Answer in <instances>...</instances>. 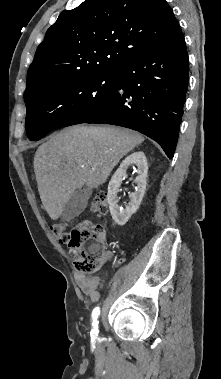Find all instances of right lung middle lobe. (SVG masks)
I'll return each instance as SVG.
<instances>
[{"label": "right lung middle lobe", "mask_w": 221, "mask_h": 379, "mask_svg": "<svg viewBox=\"0 0 221 379\" xmlns=\"http://www.w3.org/2000/svg\"><path fill=\"white\" fill-rule=\"evenodd\" d=\"M118 69L82 75L54 85L26 102V130L37 141L50 131L87 118L110 98Z\"/></svg>", "instance_id": "obj_1"}]
</instances>
